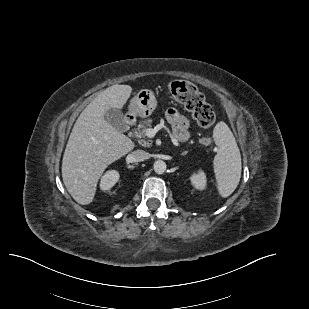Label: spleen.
Wrapping results in <instances>:
<instances>
[{"instance_id":"1","label":"spleen","mask_w":309,"mask_h":309,"mask_svg":"<svg viewBox=\"0 0 309 309\" xmlns=\"http://www.w3.org/2000/svg\"><path fill=\"white\" fill-rule=\"evenodd\" d=\"M213 138L218 152L213 160L217 189L221 197L230 196L241 178V155L235 137L223 121L213 130Z\"/></svg>"}]
</instances>
